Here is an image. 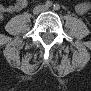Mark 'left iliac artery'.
<instances>
[{
  "instance_id": "left-iliac-artery-1",
  "label": "left iliac artery",
  "mask_w": 91,
  "mask_h": 91,
  "mask_svg": "<svg viewBox=\"0 0 91 91\" xmlns=\"http://www.w3.org/2000/svg\"><path fill=\"white\" fill-rule=\"evenodd\" d=\"M53 9H54V10H59V9H60V6H59L58 4H54V5H53Z\"/></svg>"
}]
</instances>
